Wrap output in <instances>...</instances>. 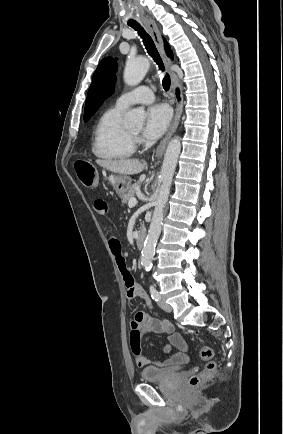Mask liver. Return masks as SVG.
<instances>
[{
  "instance_id": "6515ba94",
  "label": "liver",
  "mask_w": 283,
  "mask_h": 434,
  "mask_svg": "<svg viewBox=\"0 0 283 434\" xmlns=\"http://www.w3.org/2000/svg\"><path fill=\"white\" fill-rule=\"evenodd\" d=\"M96 163L120 175L139 174L145 168V165L137 159L96 160Z\"/></svg>"
}]
</instances>
